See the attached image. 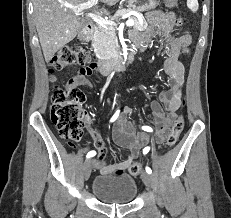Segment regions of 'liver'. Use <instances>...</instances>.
<instances>
[{"instance_id": "1", "label": "liver", "mask_w": 231, "mask_h": 218, "mask_svg": "<svg viewBox=\"0 0 231 218\" xmlns=\"http://www.w3.org/2000/svg\"><path fill=\"white\" fill-rule=\"evenodd\" d=\"M100 1L113 6L119 0ZM85 2L87 0H33L34 21L46 62L83 31V21L69 6ZM101 11L108 13L105 8Z\"/></svg>"}]
</instances>
